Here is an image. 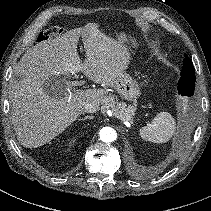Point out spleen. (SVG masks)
Here are the masks:
<instances>
[{"label": "spleen", "mask_w": 211, "mask_h": 211, "mask_svg": "<svg viewBox=\"0 0 211 211\" xmlns=\"http://www.w3.org/2000/svg\"><path fill=\"white\" fill-rule=\"evenodd\" d=\"M176 122L173 116L168 112H160L150 124L140 129L142 139L154 143H165L174 134Z\"/></svg>", "instance_id": "spleen-1"}]
</instances>
